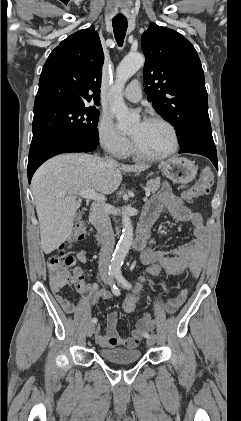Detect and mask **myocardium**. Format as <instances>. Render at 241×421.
Segmentation results:
<instances>
[{
	"label": "myocardium",
	"instance_id": "obj_1",
	"mask_svg": "<svg viewBox=\"0 0 241 421\" xmlns=\"http://www.w3.org/2000/svg\"><path fill=\"white\" fill-rule=\"evenodd\" d=\"M144 122H155V123H160L163 124L164 126H166L172 136V145L171 147L160 154H149L146 153L144 151H142L137 144L135 143V141L133 140V138L131 137V150L133 152L134 155H136L137 157L144 159V160H149V161H160L163 159H166L170 156H172L174 153L177 152L178 148H179V135L177 132L176 127L168 120H166L163 117L160 116H149L147 118H145Z\"/></svg>",
	"mask_w": 241,
	"mask_h": 421
}]
</instances>
